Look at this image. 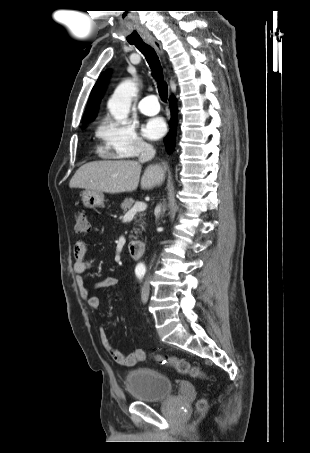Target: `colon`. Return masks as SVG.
<instances>
[{
	"label": "colon",
	"instance_id": "5ec220e1",
	"mask_svg": "<svg viewBox=\"0 0 310 453\" xmlns=\"http://www.w3.org/2000/svg\"><path fill=\"white\" fill-rule=\"evenodd\" d=\"M89 230V222L87 215L84 212H78L75 217V231L77 233H85ZM157 362L174 367L179 373L186 374L194 378L204 377L203 371L192 365L188 360L178 357H162L155 356ZM206 407V401L204 399L198 402V409L204 410Z\"/></svg>",
	"mask_w": 310,
	"mask_h": 453
}]
</instances>
